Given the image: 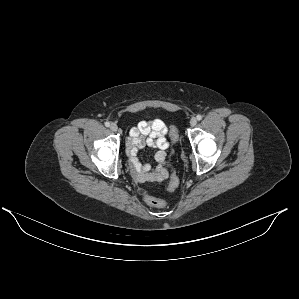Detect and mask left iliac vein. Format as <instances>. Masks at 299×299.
<instances>
[{"label": "left iliac vein", "instance_id": "obj_1", "mask_svg": "<svg viewBox=\"0 0 299 299\" xmlns=\"http://www.w3.org/2000/svg\"><path fill=\"white\" fill-rule=\"evenodd\" d=\"M197 124V119L196 118H192L191 120H190V125L191 126H195Z\"/></svg>", "mask_w": 299, "mask_h": 299}]
</instances>
